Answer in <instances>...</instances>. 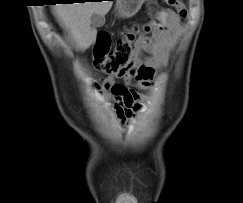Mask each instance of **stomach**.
Instances as JSON below:
<instances>
[{
  "label": "stomach",
  "instance_id": "obj_1",
  "mask_svg": "<svg viewBox=\"0 0 243 203\" xmlns=\"http://www.w3.org/2000/svg\"><path fill=\"white\" fill-rule=\"evenodd\" d=\"M146 0H117V12L121 17L135 15Z\"/></svg>",
  "mask_w": 243,
  "mask_h": 203
}]
</instances>
